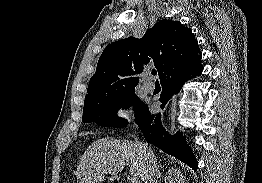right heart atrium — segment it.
<instances>
[{
    "instance_id": "right-heart-atrium-1",
    "label": "right heart atrium",
    "mask_w": 262,
    "mask_h": 183,
    "mask_svg": "<svg viewBox=\"0 0 262 183\" xmlns=\"http://www.w3.org/2000/svg\"><path fill=\"white\" fill-rule=\"evenodd\" d=\"M112 117L119 123H131L132 110L128 104L117 105L112 111Z\"/></svg>"
}]
</instances>
